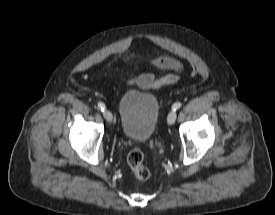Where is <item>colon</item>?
Listing matches in <instances>:
<instances>
[{
    "mask_svg": "<svg viewBox=\"0 0 275 215\" xmlns=\"http://www.w3.org/2000/svg\"><path fill=\"white\" fill-rule=\"evenodd\" d=\"M143 160V152L138 147L132 148L128 153L127 163L134 176L141 181L147 180L150 177V171L144 165Z\"/></svg>",
    "mask_w": 275,
    "mask_h": 215,
    "instance_id": "obj_1",
    "label": "colon"
}]
</instances>
